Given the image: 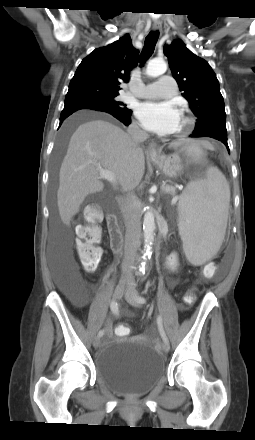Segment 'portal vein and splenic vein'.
<instances>
[{"mask_svg":"<svg viewBox=\"0 0 255 440\" xmlns=\"http://www.w3.org/2000/svg\"><path fill=\"white\" fill-rule=\"evenodd\" d=\"M98 170H99V173H100V178L106 179L107 181H109L112 184L116 183V178H115V175H114L113 172L105 170L103 168H98ZM173 189L174 188L171 187V186L166 187V191H172Z\"/></svg>","mask_w":255,"mask_h":440,"instance_id":"18ae733b","label":"portal vein and splenic vein"}]
</instances>
